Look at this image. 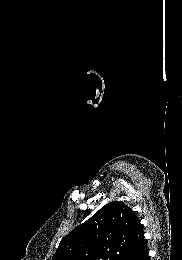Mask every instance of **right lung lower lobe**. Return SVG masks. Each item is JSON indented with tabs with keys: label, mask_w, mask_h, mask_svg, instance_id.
Listing matches in <instances>:
<instances>
[{
	"label": "right lung lower lobe",
	"mask_w": 182,
	"mask_h": 260,
	"mask_svg": "<svg viewBox=\"0 0 182 260\" xmlns=\"http://www.w3.org/2000/svg\"><path fill=\"white\" fill-rule=\"evenodd\" d=\"M124 260H150L148 255L147 242L143 243L134 252L129 254Z\"/></svg>",
	"instance_id": "98d812e1"
}]
</instances>
